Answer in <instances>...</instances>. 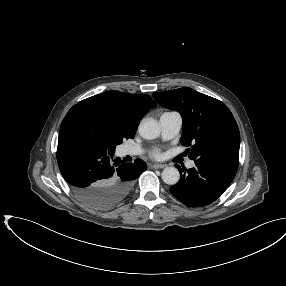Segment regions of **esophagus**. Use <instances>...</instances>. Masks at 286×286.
Returning <instances> with one entry per match:
<instances>
[{"label": "esophagus", "mask_w": 286, "mask_h": 286, "mask_svg": "<svg viewBox=\"0 0 286 286\" xmlns=\"http://www.w3.org/2000/svg\"><path fill=\"white\" fill-rule=\"evenodd\" d=\"M167 165L166 164H152L151 165V168H154V169H163L165 168Z\"/></svg>", "instance_id": "obj_1"}]
</instances>
